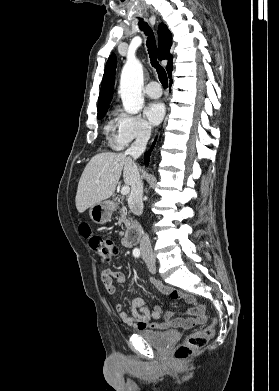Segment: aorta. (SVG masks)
Here are the masks:
<instances>
[{"label":"aorta","mask_w":279,"mask_h":391,"mask_svg":"<svg viewBox=\"0 0 279 391\" xmlns=\"http://www.w3.org/2000/svg\"><path fill=\"white\" fill-rule=\"evenodd\" d=\"M142 86V64L136 58H128L122 69L119 90L124 109L127 113L137 114L143 108Z\"/></svg>","instance_id":"aorta-1"}]
</instances>
